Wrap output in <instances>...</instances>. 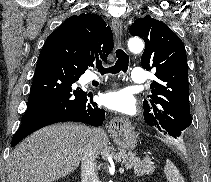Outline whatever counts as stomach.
<instances>
[{
	"label": "stomach",
	"mask_w": 211,
	"mask_h": 182,
	"mask_svg": "<svg viewBox=\"0 0 211 182\" xmlns=\"http://www.w3.org/2000/svg\"><path fill=\"white\" fill-rule=\"evenodd\" d=\"M112 137L118 147L125 150H133L137 145V137L131 129L123 128L113 130Z\"/></svg>",
	"instance_id": "stomach-1"
}]
</instances>
